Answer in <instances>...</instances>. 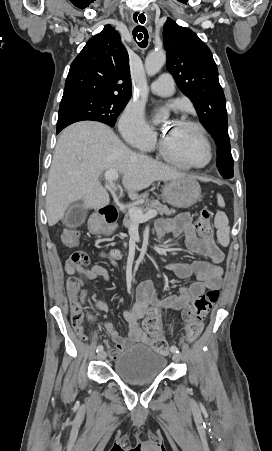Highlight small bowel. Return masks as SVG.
<instances>
[{
	"label": "small bowel",
	"instance_id": "obj_1",
	"mask_svg": "<svg viewBox=\"0 0 272 451\" xmlns=\"http://www.w3.org/2000/svg\"><path fill=\"white\" fill-rule=\"evenodd\" d=\"M158 236L166 234L174 238L183 236L184 244L188 252L206 257L209 260L197 259L192 262H174L168 264V268L179 278L189 279L193 276L196 281L189 286L181 287L177 294L168 295L157 300V292L151 281H145L136 289V301L123 310V317L128 324V335L122 337L114 325L102 321L96 314L84 312L82 305L89 304L98 310L108 312L111 307L96 300L88 291L81 290L87 280L102 278L110 282L108 270L101 265H93L85 268L83 274H76L72 270H66L70 277L67 280V295L71 303V311H83L84 318L90 323L101 325L108 333L109 338L105 341L108 356L116 360L122 351L134 343H151L154 338H163L160 324L154 331H144L140 325L143 318L152 316L159 317V311L165 309L169 312L183 310L190 302L205 290H216L222 281L223 269L219 265L224 260V253L216 245H206L204 238L198 237V225H194L188 213L181 214L174 219H160L156 222ZM188 339V337H187Z\"/></svg>",
	"mask_w": 272,
	"mask_h": 451
}]
</instances>
